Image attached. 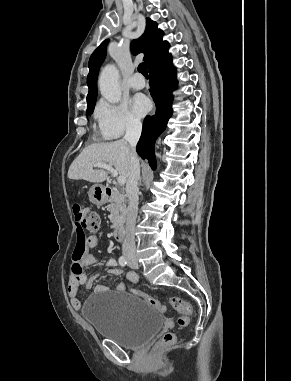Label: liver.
Masks as SVG:
<instances>
[{
    "mask_svg": "<svg viewBox=\"0 0 291 381\" xmlns=\"http://www.w3.org/2000/svg\"><path fill=\"white\" fill-rule=\"evenodd\" d=\"M129 149L130 146L125 140L93 143L85 147L72 162L68 170V178L101 183L108 178V172L93 167L96 163H106L114 167L119 177L127 180L130 172Z\"/></svg>",
    "mask_w": 291,
    "mask_h": 381,
    "instance_id": "6515ba94",
    "label": "liver"
}]
</instances>
